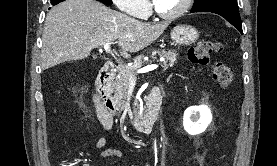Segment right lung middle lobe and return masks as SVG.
Listing matches in <instances>:
<instances>
[{"label": "right lung middle lobe", "instance_id": "right-lung-middle-lobe-1", "mask_svg": "<svg viewBox=\"0 0 277 166\" xmlns=\"http://www.w3.org/2000/svg\"><path fill=\"white\" fill-rule=\"evenodd\" d=\"M101 1H103V2H105V3H107V4H112V1H111V0H101Z\"/></svg>", "mask_w": 277, "mask_h": 166}]
</instances>
